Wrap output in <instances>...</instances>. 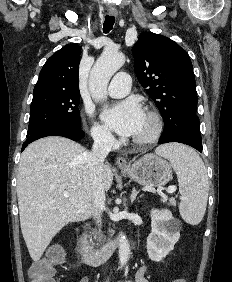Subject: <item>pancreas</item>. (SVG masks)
Returning <instances> with one entry per match:
<instances>
[{
  "label": "pancreas",
  "mask_w": 232,
  "mask_h": 282,
  "mask_svg": "<svg viewBox=\"0 0 232 282\" xmlns=\"http://www.w3.org/2000/svg\"><path fill=\"white\" fill-rule=\"evenodd\" d=\"M169 204L172 205V206H176V201H175V199H174V198H170V199H169ZM91 235H93L95 239L100 240V237H97V235H96L95 232H92Z\"/></svg>",
  "instance_id": "obj_1"
}]
</instances>
